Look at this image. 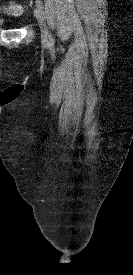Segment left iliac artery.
<instances>
[{
	"mask_svg": "<svg viewBox=\"0 0 133 275\" xmlns=\"http://www.w3.org/2000/svg\"><path fill=\"white\" fill-rule=\"evenodd\" d=\"M36 5L38 7H40L42 9V11H43L44 7H43V3H42L41 0H36ZM53 41H54V39H53L52 35H50V42L53 43Z\"/></svg>",
	"mask_w": 133,
	"mask_h": 275,
	"instance_id": "left-iliac-artery-1",
	"label": "left iliac artery"
}]
</instances>
